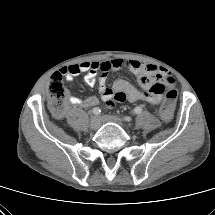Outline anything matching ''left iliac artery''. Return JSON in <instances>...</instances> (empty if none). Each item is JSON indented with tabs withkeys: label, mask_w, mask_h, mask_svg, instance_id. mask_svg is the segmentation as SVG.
Instances as JSON below:
<instances>
[{
	"label": "left iliac artery",
	"mask_w": 215,
	"mask_h": 215,
	"mask_svg": "<svg viewBox=\"0 0 215 215\" xmlns=\"http://www.w3.org/2000/svg\"><path fill=\"white\" fill-rule=\"evenodd\" d=\"M141 112H142V108H141V107H139V106L135 107V109H134V113H135V114H140ZM124 120L130 121L131 118L128 117V116H125V117H124Z\"/></svg>",
	"instance_id": "left-iliac-artery-1"
}]
</instances>
